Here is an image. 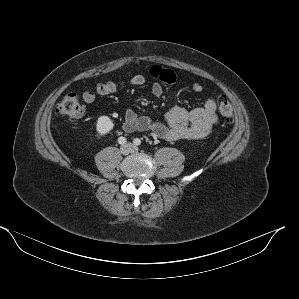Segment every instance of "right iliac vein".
I'll return each mask as SVG.
<instances>
[{
  "mask_svg": "<svg viewBox=\"0 0 299 299\" xmlns=\"http://www.w3.org/2000/svg\"><path fill=\"white\" fill-rule=\"evenodd\" d=\"M131 151L130 147L128 145H124L120 148V152L123 154V155H127L129 154Z\"/></svg>",
  "mask_w": 299,
  "mask_h": 299,
  "instance_id": "1",
  "label": "right iliac vein"
}]
</instances>
